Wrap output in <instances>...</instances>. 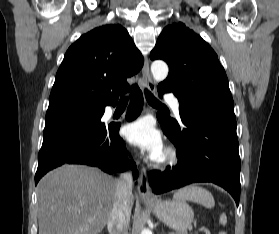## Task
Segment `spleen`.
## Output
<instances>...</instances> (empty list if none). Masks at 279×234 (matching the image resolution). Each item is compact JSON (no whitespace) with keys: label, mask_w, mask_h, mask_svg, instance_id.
<instances>
[{"label":"spleen","mask_w":279,"mask_h":234,"mask_svg":"<svg viewBox=\"0 0 279 234\" xmlns=\"http://www.w3.org/2000/svg\"><path fill=\"white\" fill-rule=\"evenodd\" d=\"M175 199L183 201H193L199 203L206 208H212L215 205L214 198L212 194L202 187L197 186H188L179 190L175 195ZM219 223L225 225L227 223V216L225 213H222L219 217ZM219 234H226L220 232Z\"/></svg>","instance_id":"obj_1"}]
</instances>
